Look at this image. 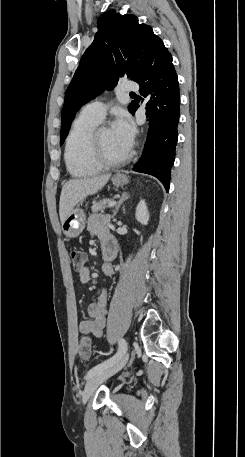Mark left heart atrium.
Returning a JSON list of instances; mask_svg holds the SVG:
<instances>
[{"mask_svg": "<svg viewBox=\"0 0 245 457\" xmlns=\"http://www.w3.org/2000/svg\"><path fill=\"white\" fill-rule=\"evenodd\" d=\"M112 129L118 138L129 148L134 136V127L131 119L125 113H121L117 117Z\"/></svg>", "mask_w": 245, "mask_h": 457, "instance_id": "left-heart-atrium-1", "label": "left heart atrium"}]
</instances>
